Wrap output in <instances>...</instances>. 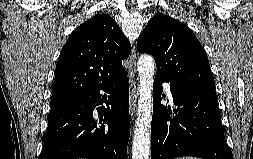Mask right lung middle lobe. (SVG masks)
Returning a JSON list of instances; mask_svg holds the SVG:
<instances>
[{
	"mask_svg": "<svg viewBox=\"0 0 253 159\" xmlns=\"http://www.w3.org/2000/svg\"><path fill=\"white\" fill-rule=\"evenodd\" d=\"M75 101L76 100L60 101V102L50 103V105H51L50 115L55 114V113L65 109L66 107L72 105Z\"/></svg>",
	"mask_w": 253,
	"mask_h": 159,
	"instance_id": "right-lung-middle-lobe-1",
	"label": "right lung middle lobe"
}]
</instances>
